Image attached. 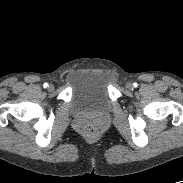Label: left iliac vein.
I'll return each instance as SVG.
<instances>
[{"label": "left iliac vein", "mask_w": 183, "mask_h": 183, "mask_svg": "<svg viewBox=\"0 0 183 183\" xmlns=\"http://www.w3.org/2000/svg\"><path fill=\"white\" fill-rule=\"evenodd\" d=\"M125 87L128 89V90H131L133 88V84L130 83V82H127Z\"/></svg>", "instance_id": "obj_1"}]
</instances>
